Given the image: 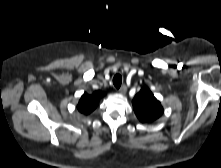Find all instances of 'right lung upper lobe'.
<instances>
[{
    "instance_id": "obj_1",
    "label": "right lung upper lobe",
    "mask_w": 221,
    "mask_h": 168,
    "mask_svg": "<svg viewBox=\"0 0 221 168\" xmlns=\"http://www.w3.org/2000/svg\"><path fill=\"white\" fill-rule=\"evenodd\" d=\"M104 93L101 91H95L89 95L84 93L77 105V109L84 114H90L98 105L100 97Z\"/></svg>"
}]
</instances>
